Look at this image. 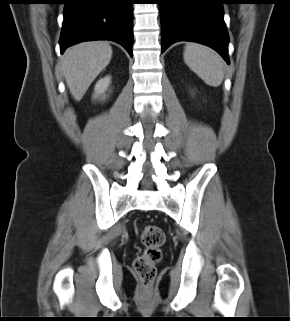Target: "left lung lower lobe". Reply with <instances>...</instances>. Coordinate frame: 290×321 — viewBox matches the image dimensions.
<instances>
[{
    "instance_id": "1",
    "label": "left lung lower lobe",
    "mask_w": 290,
    "mask_h": 321,
    "mask_svg": "<svg viewBox=\"0 0 290 321\" xmlns=\"http://www.w3.org/2000/svg\"><path fill=\"white\" fill-rule=\"evenodd\" d=\"M226 0H161L162 53L173 43L191 41L216 50L229 64Z\"/></svg>"
}]
</instances>
